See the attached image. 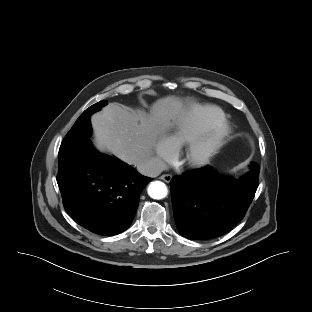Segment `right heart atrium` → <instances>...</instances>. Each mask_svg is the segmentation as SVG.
Listing matches in <instances>:
<instances>
[{
	"instance_id": "1",
	"label": "right heart atrium",
	"mask_w": 312,
	"mask_h": 312,
	"mask_svg": "<svg viewBox=\"0 0 312 312\" xmlns=\"http://www.w3.org/2000/svg\"><path fill=\"white\" fill-rule=\"evenodd\" d=\"M152 145L156 153L157 162L160 165L171 159L174 147L165 137L157 138Z\"/></svg>"
}]
</instances>
